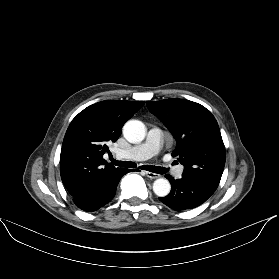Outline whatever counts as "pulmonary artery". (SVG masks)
<instances>
[{"label": "pulmonary artery", "instance_id": "e3ab8cb5", "mask_svg": "<svg viewBox=\"0 0 279 279\" xmlns=\"http://www.w3.org/2000/svg\"><path fill=\"white\" fill-rule=\"evenodd\" d=\"M163 133L157 127H152L147 135L145 142L130 148L129 150H117L119 157L135 160H146L156 155L161 147ZM183 166L174 169L175 176L179 177L183 173Z\"/></svg>", "mask_w": 279, "mask_h": 279}]
</instances>
